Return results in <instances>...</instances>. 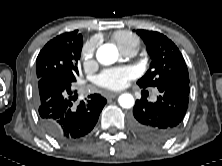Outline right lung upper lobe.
I'll use <instances>...</instances> for the list:
<instances>
[{
	"instance_id": "1",
	"label": "right lung upper lobe",
	"mask_w": 222,
	"mask_h": 166,
	"mask_svg": "<svg viewBox=\"0 0 222 166\" xmlns=\"http://www.w3.org/2000/svg\"><path fill=\"white\" fill-rule=\"evenodd\" d=\"M65 35H66V34H61V35L55 37L54 39L56 40V39H59V38H63V37H65Z\"/></svg>"
}]
</instances>
